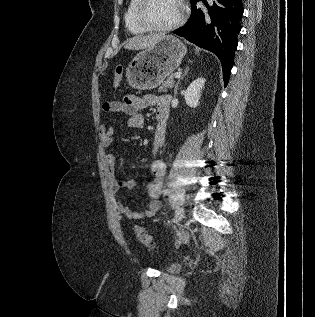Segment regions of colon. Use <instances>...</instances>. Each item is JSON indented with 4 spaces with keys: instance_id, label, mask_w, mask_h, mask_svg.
Segmentation results:
<instances>
[{
    "instance_id": "obj_1",
    "label": "colon",
    "mask_w": 315,
    "mask_h": 317,
    "mask_svg": "<svg viewBox=\"0 0 315 317\" xmlns=\"http://www.w3.org/2000/svg\"><path fill=\"white\" fill-rule=\"evenodd\" d=\"M123 76V67L121 65L117 66L114 77H113V86L117 87L121 81ZM136 236L138 240L148 248H154L155 243L151 237V235L142 227H138L136 229Z\"/></svg>"
}]
</instances>
